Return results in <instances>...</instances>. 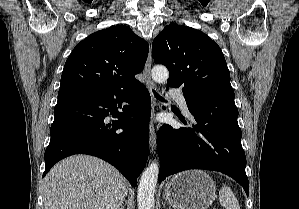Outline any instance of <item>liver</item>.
Returning a JSON list of instances; mask_svg holds the SVG:
<instances>
[{
  "instance_id": "1",
  "label": "liver",
  "mask_w": 299,
  "mask_h": 209,
  "mask_svg": "<svg viewBox=\"0 0 299 209\" xmlns=\"http://www.w3.org/2000/svg\"><path fill=\"white\" fill-rule=\"evenodd\" d=\"M128 182L107 162L74 155L57 163L44 179V209H120Z\"/></svg>"
}]
</instances>
